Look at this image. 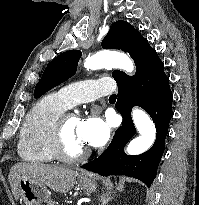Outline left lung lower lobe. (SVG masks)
Here are the masks:
<instances>
[{"label": "left lung lower lobe", "instance_id": "left-lung-lower-lobe-1", "mask_svg": "<svg viewBox=\"0 0 199 205\" xmlns=\"http://www.w3.org/2000/svg\"><path fill=\"white\" fill-rule=\"evenodd\" d=\"M127 52L134 59L136 74L130 77L120 71L115 78L119 87L115 107L122 115L123 123L116 130L109 147L81 168L102 176L134 177L150 187L164 152L168 125L173 116V95L163 62L141 34L135 37ZM135 105L142 107L152 117L157 136L148 151L131 156L124 153V147L136 133L131 118V109Z\"/></svg>", "mask_w": 199, "mask_h": 205}]
</instances>
